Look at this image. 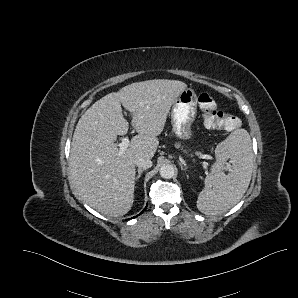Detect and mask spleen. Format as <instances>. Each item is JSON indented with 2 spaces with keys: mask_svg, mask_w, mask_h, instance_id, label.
<instances>
[{
  "mask_svg": "<svg viewBox=\"0 0 298 298\" xmlns=\"http://www.w3.org/2000/svg\"><path fill=\"white\" fill-rule=\"evenodd\" d=\"M215 161L205 176L197 208L207 215H216L234 206L246 192L253 169L254 152L250 135L244 129L232 132L214 150ZM227 161L231 162L228 174Z\"/></svg>",
  "mask_w": 298,
  "mask_h": 298,
  "instance_id": "spleen-1",
  "label": "spleen"
}]
</instances>
